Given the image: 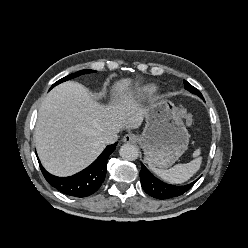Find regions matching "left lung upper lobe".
<instances>
[{"label": "left lung upper lobe", "instance_id": "5c2ea615", "mask_svg": "<svg viewBox=\"0 0 248 248\" xmlns=\"http://www.w3.org/2000/svg\"><path fill=\"white\" fill-rule=\"evenodd\" d=\"M184 86H185V88H186L188 91H190L191 93L196 94V95H198L199 97H201L202 99H204L203 96H202V94L200 93V91H199L198 89H196L195 87H193L190 83H188V82L185 81V80H184Z\"/></svg>", "mask_w": 248, "mask_h": 248}]
</instances>
